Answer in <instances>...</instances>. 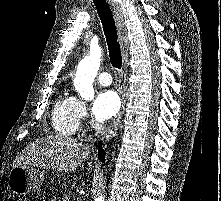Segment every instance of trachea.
<instances>
[{
    "mask_svg": "<svg viewBox=\"0 0 221 201\" xmlns=\"http://www.w3.org/2000/svg\"><path fill=\"white\" fill-rule=\"evenodd\" d=\"M94 3L103 25L111 64L114 68L120 70L122 55L112 12L105 0H94Z\"/></svg>",
    "mask_w": 221,
    "mask_h": 201,
    "instance_id": "1",
    "label": "trachea"
}]
</instances>
